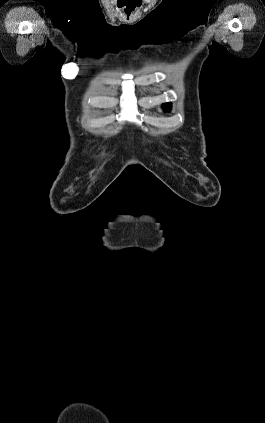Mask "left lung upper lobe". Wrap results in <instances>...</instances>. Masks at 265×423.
<instances>
[{
	"label": "left lung upper lobe",
	"instance_id": "1",
	"mask_svg": "<svg viewBox=\"0 0 265 423\" xmlns=\"http://www.w3.org/2000/svg\"><path fill=\"white\" fill-rule=\"evenodd\" d=\"M164 109H166V110H170V108H171V105H170V103H165V104H163V106H162Z\"/></svg>",
	"mask_w": 265,
	"mask_h": 423
}]
</instances>
